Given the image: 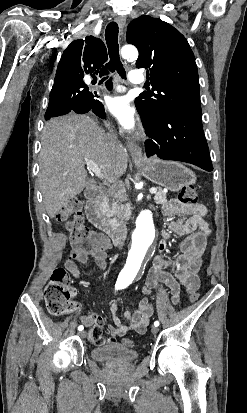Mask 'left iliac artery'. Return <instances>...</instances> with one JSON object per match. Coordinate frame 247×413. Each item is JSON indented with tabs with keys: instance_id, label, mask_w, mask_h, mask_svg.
I'll use <instances>...</instances> for the list:
<instances>
[{
	"instance_id": "left-iliac-artery-1",
	"label": "left iliac artery",
	"mask_w": 247,
	"mask_h": 413,
	"mask_svg": "<svg viewBox=\"0 0 247 413\" xmlns=\"http://www.w3.org/2000/svg\"><path fill=\"white\" fill-rule=\"evenodd\" d=\"M126 287H127V285L124 286L123 288H126ZM154 326H156V327L159 326V322H158V321H155V322H154Z\"/></svg>"
}]
</instances>
